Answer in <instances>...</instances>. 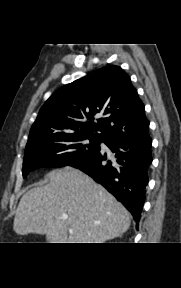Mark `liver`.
<instances>
[{
	"mask_svg": "<svg viewBox=\"0 0 181 288\" xmlns=\"http://www.w3.org/2000/svg\"><path fill=\"white\" fill-rule=\"evenodd\" d=\"M47 178V185L28 190L20 199L14 218L17 234H43L48 243H105L129 229L126 208L82 171L67 166Z\"/></svg>",
	"mask_w": 181,
	"mask_h": 288,
	"instance_id": "6515ba94",
	"label": "liver"
}]
</instances>
